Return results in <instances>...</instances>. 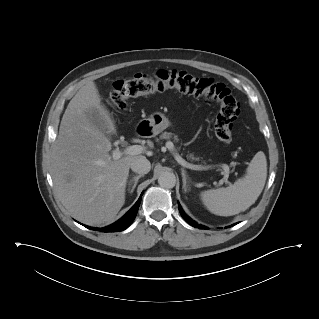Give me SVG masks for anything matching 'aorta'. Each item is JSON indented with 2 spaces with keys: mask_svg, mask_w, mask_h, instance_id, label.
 <instances>
[{
  "mask_svg": "<svg viewBox=\"0 0 319 319\" xmlns=\"http://www.w3.org/2000/svg\"><path fill=\"white\" fill-rule=\"evenodd\" d=\"M158 183L162 188L171 189L176 184V177L174 173L165 171L159 175Z\"/></svg>",
  "mask_w": 319,
  "mask_h": 319,
  "instance_id": "aorta-1",
  "label": "aorta"
}]
</instances>
